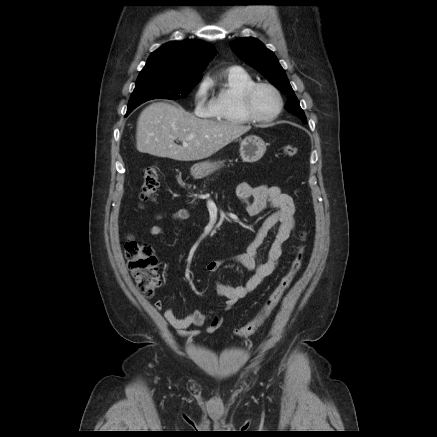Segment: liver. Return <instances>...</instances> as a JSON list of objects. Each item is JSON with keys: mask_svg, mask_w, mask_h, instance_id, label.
Returning a JSON list of instances; mask_svg holds the SVG:
<instances>
[{"mask_svg": "<svg viewBox=\"0 0 437 437\" xmlns=\"http://www.w3.org/2000/svg\"><path fill=\"white\" fill-rule=\"evenodd\" d=\"M251 129L224 121L198 118L182 107L166 102L147 106L136 128V147L141 153L196 161L208 158ZM176 139L187 146L177 145Z\"/></svg>", "mask_w": 437, "mask_h": 437, "instance_id": "1", "label": "liver"}]
</instances>
